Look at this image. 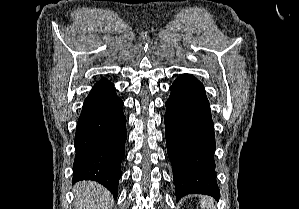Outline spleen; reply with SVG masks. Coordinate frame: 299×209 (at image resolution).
I'll return each instance as SVG.
<instances>
[{
    "mask_svg": "<svg viewBox=\"0 0 299 209\" xmlns=\"http://www.w3.org/2000/svg\"><path fill=\"white\" fill-rule=\"evenodd\" d=\"M200 205L202 209H216L213 200L208 196H202L200 199Z\"/></svg>",
    "mask_w": 299,
    "mask_h": 209,
    "instance_id": "spleen-1",
    "label": "spleen"
}]
</instances>
